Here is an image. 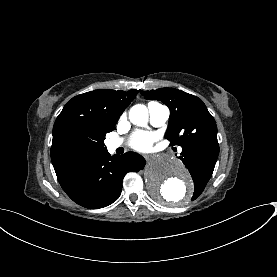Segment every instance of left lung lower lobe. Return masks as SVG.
I'll return each instance as SVG.
<instances>
[{
    "label": "left lung lower lobe",
    "mask_w": 277,
    "mask_h": 277,
    "mask_svg": "<svg viewBox=\"0 0 277 277\" xmlns=\"http://www.w3.org/2000/svg\"><path fill=\"white\" fill-rule=\"evenodd\" d=\"M219 154L216 140H204L182 147L179 157L189 170L193 180L201 175H212Z\"/></svg>",
    "instance_id": "left-lung-lower-lobe-1"
}]
</instances>
